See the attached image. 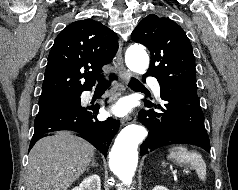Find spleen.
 Returning a JSON list of instances; mask_svg holds the SVG:
<instances>
[{
    "mask_svg": "<svg viewBox=\"0 0 238 190\" xmlns=\"http://www.w3.org/2000/svg\"><path fill=\"white\" fill-rule=\"evenodd\" d=\"M168 158L179 164H190L202 181L206 179V164L202 156L194 151H188L186 147L176 146L169 149Z\"/></svg>",
    "mask_w": 238,
    "mask_h": 190,
    "instance_id": "obj_1",
    "label": "spleen"
}]
</instances>
